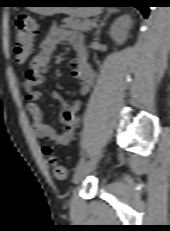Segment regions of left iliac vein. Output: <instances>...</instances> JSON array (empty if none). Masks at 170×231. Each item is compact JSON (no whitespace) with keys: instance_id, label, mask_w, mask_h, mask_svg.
Wrapping results in <instances>:
<instances>
[{"instance_id":"obj_1","label":"left iliac vein","mask_w":170,"mask_h":231,"mask_svg":"<svg viewBox=\"0 0 170 231\" xmlns=\"http://www.w3.org/2000/svg\"><path fill=\"white\" fill-rule=\"evenodd\" d=\"M101 156L102 152L93 157L90 161H87L82 166L78 167L73 176V183L79 184L83 181V179L95 169Z\"/></svg>"}]
</instances>
